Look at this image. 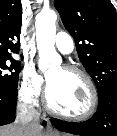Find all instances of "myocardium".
<instances>
[{
	"label": "myocardium",
	"instance_id": "myocardium-1",
	"mask_svg": "<svg viewBox=\"0 0 117 136\" xmlns=\"http://www.w3.org/2000/svg\"><path fill=\"white\" fill-rule=\"evenodd\" d=\"M63 69L69 73L80 76L85 81L89 89V92H90V105L88 109L81 114H68V113H64L59 110H56L50 104L49 86H48L46 89V94H45V105H46L47 110L53 115L59 116L61 118H64L70 121H84V120L91 118L96 113L97 108H98V103H99L98 90H97V87L94 81L92 80L90 75L85 70H83L82 68L78 66L65 65L63 66Z\"/></svg>",
	"mask_w": 117,
	"mask_h": 136
}]
</instances>
